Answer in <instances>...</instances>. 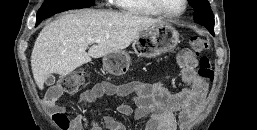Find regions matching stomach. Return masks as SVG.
Returning a JSON list of instances; mask_svg holds the SVG:
<instances>
[{"instance_id": "0dacf381", "label": "stomach", "mask_w": 257, "mask_h": 130, "mask_svg": "<svg viewBox=\"0 0 257 130\" xmlns=\"http://www.w3.org/2000/svg\"><path fill=\"white\" fill-rule=\"evenodd\" d=\"M149 44L142 45L135 40L133 48L138 56L152 58L162 53L172 51L179 43L178 31L167 22L152 26L148 29ZM130 65V56L125 51L107 54L103 57L104 69L113 75L126 73Z\"/></svg>"}]
</instances>
